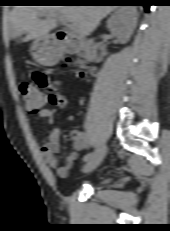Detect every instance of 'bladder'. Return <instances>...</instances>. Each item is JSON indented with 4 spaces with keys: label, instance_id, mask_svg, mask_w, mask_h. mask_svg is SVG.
Masks as SVG:
<instances>
[{
    "label": "bladder",
    "instance_id": "1",
    "mask_svg": "<svg viewBox=\"0 0 170 231\" xmlns=\"http://www.w3.org/2000/svg\"><path fill=\"white\" fill-rule=\"evenodd\" d=\"M113 179H114L113 176L106 177V178H104L103 180H101V181L99 182V185H107V184H109Z\"/></svg>",
    "mask_w": 170,
    "mask_h": 231
}]
</instances>
